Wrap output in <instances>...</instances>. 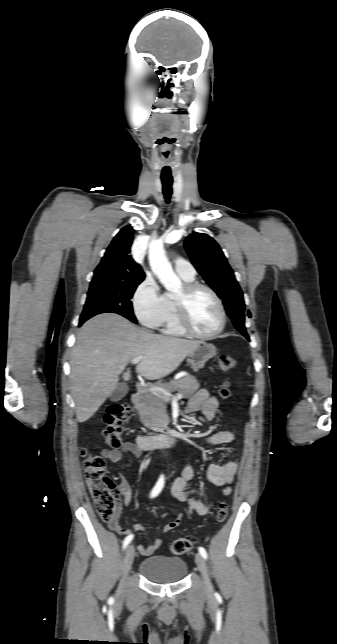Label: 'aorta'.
Masks as SVG:
<instances>
[{
	"label": "aorta",
	"mask_w": 337,
	"mask_h": 644,
	"mask_svg": "<svg viewBox=\"0 0 337 644\" xmlns=\"http://www.w3.org/2000/svg\"><path fill=\"white\" fill-rule=\"evenodd\" d=\"M148 258L153 273L165 289L170 292H178L181 289V280L174 273L161 240H151Z\"/></svg>",
	"instance_id": "1"
}]
</instances>
